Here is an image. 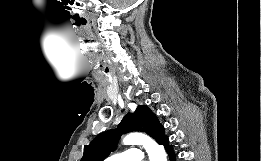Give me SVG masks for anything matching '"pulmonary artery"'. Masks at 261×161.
<instances>
[{
    "label": "pulmonary artery",
    "mask_w": 261,
    "mask_h": 161,
    "mask_svg": "<svg viewBox=\"0 0 261 161\" xmlns=\"http://www.w3.org/2000/svg\"><path fill=\"white\" fill-rule=\"evenodd\" d=\"M142 157L136 149H129L107 157L104 161H141Z\"/></svg>",
    "instance_id": "pulmonary-artery-1"
}]
</instances>
